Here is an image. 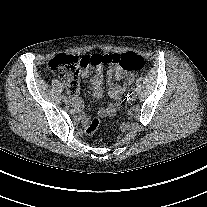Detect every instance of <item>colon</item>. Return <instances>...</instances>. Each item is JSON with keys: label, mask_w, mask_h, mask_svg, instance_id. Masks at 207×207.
<instances>
[{"label": "colon", "mask_w": 207, "mask_h": 207, "mask_svg": "<svg viewBox=\"0 0 207 207\" xmlns=\"http://www.w3.org/2000/svg\"><path fill=\"white\" fill-rule=\"evenodd\" d=\"M144 58L136 53L124 54H91L83 57L61 54L49 62V69L59 72L67 84L68 90L73 92L78 87V77L82 69L93 66H119L125 71H139L144 67ZM100 124V119L94 118L84 130L87 136L93 135Z\"/></svg>", "instance_id": "obj_1"}]
</instances>
